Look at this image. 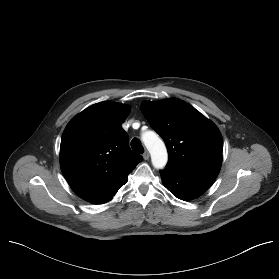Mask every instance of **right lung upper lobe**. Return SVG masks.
Listing matches in <instances>:
<instances>
[{
  "instance_id": "right-lung-upper-lobe-1",
  "label": "right lung upper lobe",
  "mask_w": 279,
  "mask_h": 279,
  "mask_svg": "<svg viewBox=\"0 0 279 279\" xmlns=\"http://www.w3.org/2000/svg\"><path fill=\"white\" fill-rule=\"evenodd\" d=\"M130 106L100 102L76 115L66 126L60 165L69 185L82 199L94 203L117 191L142 161L129 147L121 123Z\"/></svg>"
}]
</instances>
